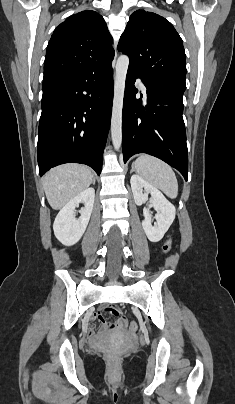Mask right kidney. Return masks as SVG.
<instances>
[{"label": "right kidney", "instance_id": "1", "mask_svg": "<svg viewBox=\"0 0 235 404\" xmlns=\"http://www.w3.org/2000/svg\"><path fill=\"white\" fill-rule=\"evenodd\" d=\"M95 190L87 188L70 200L58 213L53 230L56 238L66 246L76 244L84 234L93 210ZM79 203L84 204L80 210L81 216L75 218V208Z\"/></svg>", "mask_w": 235, "mask_h": 404}]
</instances>
